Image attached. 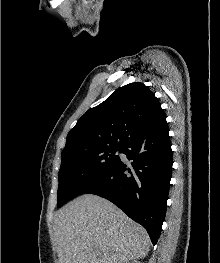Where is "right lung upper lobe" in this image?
<instances>
[{
  "instance_id": "1",
  "label": "right lung upper lobe",
  "mask_w": 220,
  "mask_h": 263,
  "mask_svg": "<svg viewBox=\"0 0 220 263\" xmlns=\"http://www.w3.org/2000/svg\"><path fill=\"white\" fill-rule=\"evenodd\" d=\"M167 131L166 115L154 93L143 83H130L78 120L62 155L106 147L123 149L137 138H156Z\"/></svg>"
}]
</instances>
